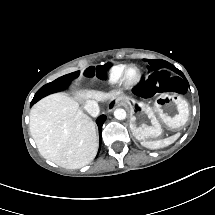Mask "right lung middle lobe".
<instances>
[{
    "instance_id": "right-lung-middle-lobe-1",
    "label": "right lung middle lobe",
    "mask_w": 215,
    "mask_h": 215,
    "mask_svg": "<svg viewBox=\"0 0 215 215\" xmlns=\"http://www.w3.org/2000/svg\"><path fill=\"white\" fill-rule=\"evenodd\" d=\"M78 75H79V71H76V72L64 75L54 80L53 82L44 85L35 94L31 102V105L35 104L37 101L47 96L48 94L65 89L73 79L78 77Z\"/></svg>"
}]
</instances>
